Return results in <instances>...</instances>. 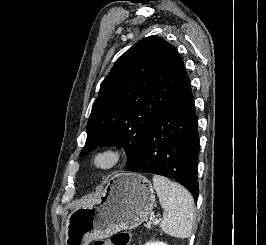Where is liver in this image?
Here are the masks:
<instances>
[{
    "instance_id": "liver-1",
    "label": "liver",
    "mask_w": 266,
    "mask_h": 245,
    "mask_svg": "<svg viewBox=\"0 0 266 245\" xmlns=\"http://www.w3.org/2000/svg\"><path fill=\"white\" fill-rule=\"evenodd\" d=\"M86 203H91V199H85ZM79 207H88V205H85V203H81Z\"/></svg>"
}]
</instances>
